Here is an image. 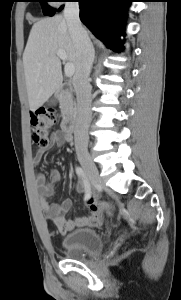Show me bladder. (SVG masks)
Segmentation results:
<instances>
[{
  "label": "bladder",
  "instance_id": "obj_1",
  "mask_svg": "<svg viewBox=\"0 0 181 300\" xmlns=\"http://www.w3.org/2000/svg\"><path fill=\"white\" fill-rule=\"evenodd\" d=\"M62 247L69 256L95 254L102 250L103 239L94 229H74L63 237Z\"/></svg>",
  "mask_w": 181,
  "mask_h": 300
}]
</instances>
